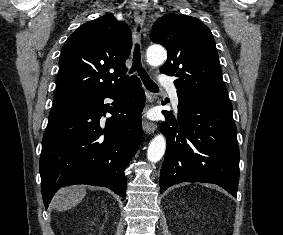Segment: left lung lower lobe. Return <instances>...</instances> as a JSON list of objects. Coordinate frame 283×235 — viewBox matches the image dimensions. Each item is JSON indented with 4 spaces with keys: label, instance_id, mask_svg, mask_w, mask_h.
<instances>
[{
    "label": "left lung lower lobe",
    "instance_id": "0a47b994",
    "mask_svg": "<svg viewBox=\"0 0 283 235\" xmlns=\"http://www.w3.org/2000/svg\"><path fill=\"white\" fill-rule=\"evenodd\" d=\"M178 121L163 111L160 130L167 139L160 192L181 182L214 183L234 197L239 181V148L232 104L177 90ZM164 104V102H162Z\"/></svg>",
    "mask_w": 283,
    "mask_h": 235
}]
</instances>
